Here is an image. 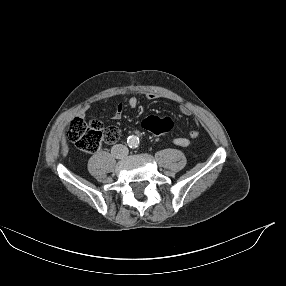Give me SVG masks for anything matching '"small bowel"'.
I'll list each match as a JSON object with an SVG mask.
<instances>
[{"mask_svg": "<svg viewBox=\"0 0 286 286\" xmlns=\"http://www.w3.org/2000/svg\"><path fill=\"white\" fill-rule=\"evenodd\" d=\"M158 97L159 96L156 93H153V92H150V93L146 94V98L148 100H156V99H158ZM127 103H128L129 107L136 108L138 106V104H139V100H138V98L136 96H131V97H129ZM123 111H124V105L122 103L118 104L116 106V110H115V113L113 115V118L116 119V120L120 119L122 117ZM182 113L185 114V115H190L191 111H190L189 108L183 107L182 108ZM80 116L83 117L84 113H80ZM149 117H152V116H149ZM145 119L142 122L143 126H144ZM198 135H199V132L197 130H192V131L189 132V134L187 136H175V137H173L172 141L177 146L188 147V146H190L191 141L196 139L198 137Z\"/></svg>", "mask_w": 286, "mask_h": 286, "instance_id": "c3829d8e", "label": "small bowel"}]
</instances>
